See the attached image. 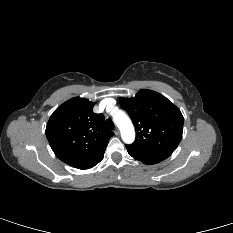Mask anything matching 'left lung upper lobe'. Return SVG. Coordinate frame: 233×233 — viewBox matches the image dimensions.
Here are the masks:
<instances>
[{"label":"left lung upper lobe","instance_id":"1","mask_svg":"<svg viewBox=\"0 0 233 233\" xmlns=\"http://www.w3.org/2000/svg\"><path fill=\"white\" fill-rule=\"evenodd\" d=\"M121 107L132 119L136 140L128 145L141 150L172 153L183 132L180 110L163 95L147 89L134 98H120Z\"/></svg>","mask_w":233,"mask_h":233}]
</instances>
